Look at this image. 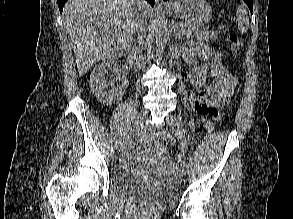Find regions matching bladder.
Masks as SVG:
<instances>
[{
  "label": "bladder",
  "mask_w": 293,
  "mask_h": 219,
  "mask_svg": "<svg viewBox=\"0 0 293 219\" xmlns=\"http://www.w3.org/2000/svg\"><path fill=\"white\" fill-rule=\"evenodd\" d=\"M112 181L120 192L159 209L172 208L179 200L177 187L168 181L146 180L125 169L115 172Z\"/></svg>",
  "instance_id": "obj_1"
}]
</instances>
